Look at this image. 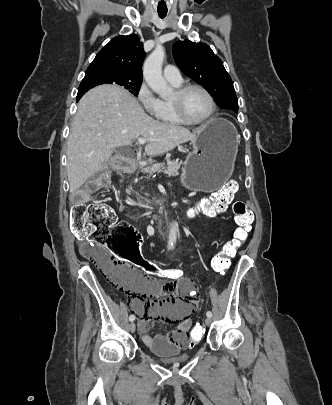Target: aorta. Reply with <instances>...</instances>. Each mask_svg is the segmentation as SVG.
I'll return each instance as SVG.
<instances>
[{
    "mask_svg": "<svg viewBox=\"0 0 332 405\" xmlns=\"http://www.w3.org/2000/svg\"><path fill=\"white\" fill-rule=\"evenodd\" d=\"M165 58V50L161 45L155 47L143 64V76L149 87L161 97L167 95L169 87L162 76V64ZM177 223L170 228L168 245L174 246L177 239Z\"/></svg>",
    "mask_w": 332,
    "mask_h": 405,
    "instance_id": "obj_1",
    "label": "aorta"
}]
</instances>
